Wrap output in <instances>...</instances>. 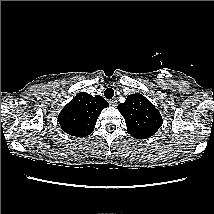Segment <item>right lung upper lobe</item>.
Wrapping results in <instances>:
<instances>
[{"mask_svg": "<svg viewBox=\"0 0 214 214\" xmlns=\"http://www.w3.org/2000/svg\"><path fill=\"white\" fill-rule=\"evenodd\" d=\"M108 106L109 103L103 97L80 92L64 106L58 121L67 134L86 137L93 132L99 114Z\"/></svg>", "mask_w": 214, "mask_h": 214, "instance_id": "obj_1", "label": "right lung upper lobe"}]
</instances>
